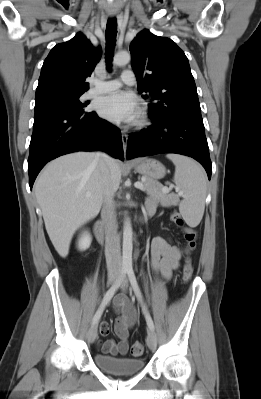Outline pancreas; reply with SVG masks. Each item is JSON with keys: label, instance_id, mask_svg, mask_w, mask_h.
I'll use <instances>...</instances> for the list:
<instances>
[{"label": "pancreas", "instance_id": "1", "mask_svg": "<svg viewBox=\"0 0 261 399\" xmlns=\"http://www.w3.org/2000/svg\"><path fill=\"white\" fill-rule=\"evenodd\" d=\"M142 183L144 186L143 190L146 191L148 195L157 198L162 205L176 204L178 197L175 194H168V192L164 191L163 185L158 181L145 177Z\"/></svg>", "mask_w": 261, "mask_h": 399}]
</instances>
